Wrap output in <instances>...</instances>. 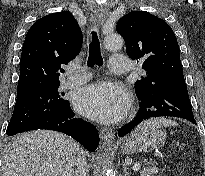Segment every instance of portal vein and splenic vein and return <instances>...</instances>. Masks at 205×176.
Segmentation results:
<instances>
[{"instance_id": "obj_1", "label": "portal vein and splenic vein", "mask_w": 205, "mask_h": 176, "mask_svg": "<svg viewBox=\"0 0 205 176\" xmlns=\"http://www.w3.org/2000/svg\"><path fill=\"white\" fill-rule=\"evenodd\" d=\"M140 168V163H136L134 166H133V171L134 172H137Z\"/></svg>"}]
</instances>
